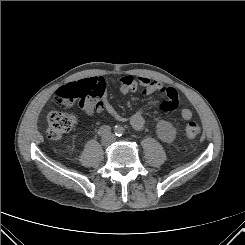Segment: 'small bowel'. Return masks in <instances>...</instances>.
Returning <instances> with one entry per match:
<instances>
[{"instance_id":"small-bowel-1","label":"small bowel","mask_w":245,"mask_h":245,"mask_svg":"<svg viewBox=\"0 0 245 245\" xmlns=\"http://www.w3.org/2000/svg\"><path fill=\"white\" fill-rule=\"evenodd\" d=\"M87 79L93 80L99 89V94L97 96L88 98L80 105L88 116H93L95 113L105 110L117 121H128L136 130L140 131L146 127L144 108L137 110L130 117L122 116L108 100L105 80L100 76ZM117 85L120 95H126L138 89H141L142 95L145 97H151L154 93H160L166 97V100L160 104V109L163 111H172L178 108L179 97L175 88L165 86L158 80H152L146 76L127 75L119 78ZM180 115L184 120H190L193 118L194 113L191 109L182 108L180 110Z\"/></svg>"}]
</instances>
